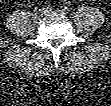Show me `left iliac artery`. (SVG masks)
Segmentation results:
<instances>
[{
  "mask_svg": "<svg viewBox=\"0 0 111 106\" xmlns=\"http://www.w3.org/2000/svg\"><path fill=\"white\" fill-rule=\"evenodd\" d=\"M62 11L67 14L69 12V8L65 6L62 8Z\"/></svg>",
  "mask_w": 111,
  "mask_h": 106,
  "instance_id": "44dca946",
  "label": "left iliac artery"
}]
</instances>
